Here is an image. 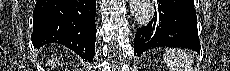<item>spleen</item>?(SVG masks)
I'll use <instances>...</instances> for the list:
<instances>
[{
	"label": "spleen",
	"mask_w": 230,
	"mask_h": 71,
	"mask_svg": "<svg viewBox=\"0 0 230 71\" xmlns=\"http://www.w3.org/2000/svg\"><path fill=\"white\" fill-rule=\"evenodd\" d=\"M163 59L170 71H192V59L183 50L167 49Z\"/></svg>",
	"instance_id": "3e777b00"
}]
</instances>
